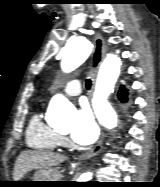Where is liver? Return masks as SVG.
Instances as JSON below:
<instances>
[{
  "label": "liver",
  "instance_id": "1",
  "mask_svg": "<svg viewBox=\"0 0 160 187\" xmlns=\"http://www.w3.org/2000/svg\"><path fill=\"white\" fill-rule=\"evenodd\" d=\"M65 160L61 154L44 151L27 150L22 152L14 166L13 179L19 181L24 175L32 170H47L57 166Z\"/></svg>",
  "mask_w": 160,
  "mask_h": 187
}]
</instances>
